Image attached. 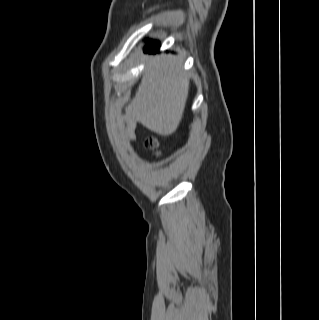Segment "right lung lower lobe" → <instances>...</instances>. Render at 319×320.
I'll use <instances>...</instances> for the list:
<instances>
[{"mask_svg":"<svg viewBox=\"0 0 319 320\" xmlns=\"http://www.w3.org/2000/svg\"><path fill=\"white\" fill-rule=\"evenodd\" d=\"M159 46V42L157 41H148L145 50L148 52H156L159 49Z\"/></svg>","mask_w":319,"mask_h":320,"instance_id":"obj_1","label":"right lung lower lobe"}]
</instances>
